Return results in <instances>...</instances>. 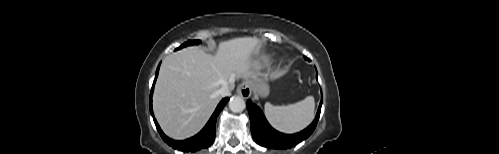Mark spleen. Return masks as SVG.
<instances>
[{
    "instance_id": "obj_1",
    "label": "spleen",
    "mask_w": 499,
    "mask_h": 154,
    "mask_svg": "<svg viewBox=\"0 0 499 154\" xmlns=\"http://www.w3.org/2000/svg\"><path fill=\"white\" fill-rule=\"evenodd\" d=\"M315 101L312 96L290 105H264V113L270 124L284 133H295L307 127L314 118Z\"/></svg>"
}]
</instances>
